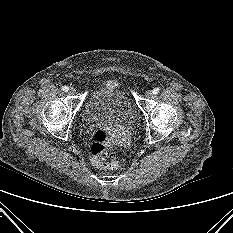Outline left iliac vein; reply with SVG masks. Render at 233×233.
Returning a JSON list of instances; mask_svg holds the SVG:
<instances>
[{
	"label": "left iliac vein",
	"instance_id": "left-iliac-vein-1",
	"mask_svg": "<svg viewBox=\"0 0 233 233\" xmlns=\"http://www.w3.org/2000/svg\"><path fill=\"white\" fill-rule=\"evenodd\" d=\"M152 94H153V91L148 90V91H146V93H145V97H146V98H150V97L152 96Z\"/></svg>",
	"mask_w": 233,
	"mask_h": 233
}]
</instances>
